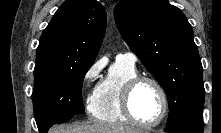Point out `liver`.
<instances>
[{
	"mask_svg": "<svg viewBox=\"0 0 221 133\" xmlns=\"http://www.w3.org/2000/svg\"><path fill=\"white\" fill-rule=\"evenodd\" d=\"M49 133H143L140 129L121 125L96 123L88 124H69L53 127Z\"/></svg>",
	"mask_w": 221,
	"mask_h": 133,
	"instance_id": "obj_1",
	"label": "liver"
}]
</instances>
